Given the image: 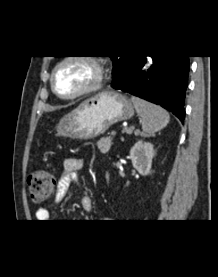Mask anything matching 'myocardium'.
Returning a JSON list of instances; mask_svg holds the SVG:
<instances>
[{
  "mask_svg": "<svg viewBox=\"0 0 218 277\" xmlns=\"http://www.w3.org/2000/svg\"><path fill=\"white\" fill-rule=\"evenodd\" d=\"M73 62L82 63L88 66L92 71V77L90 81L76 93L71 95H63L59 93L58 90L56 89L55 78L57 73L62 67ZM104 76H105V73H104L103 66L95 57L85 56V55H70V56L63 57L58 63L54 65L51 73L50 85L53 93L57 97L64 100H73L81 96H84L86 94L97 91L102 86V83L104 81Z\"/></svg>",
  "mask_w": 218,
  "mask_h": 277,
  "instance_id": "myocardium-1",
  "label": "myocardium"
}]
</instances>
